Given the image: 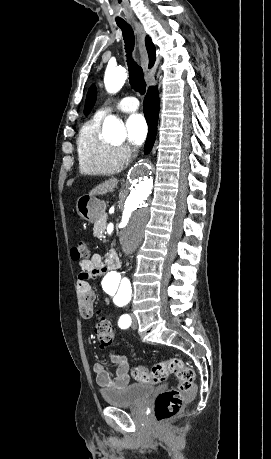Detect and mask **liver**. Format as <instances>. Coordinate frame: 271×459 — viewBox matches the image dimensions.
<instances>
[{
    "label": "liver",
    "mask_w": 271,
    "mask_h": 459,
    "mask_svg": "<svg viewBox=\"0 0 271 459\" xmlns=\"http://www.w3.org/2000/svg\"><path fill=\"white\" fill-rule=\"evenodd\" d=\"M119 180L116 178H111V180H106L103 184H99L96 188H93L91 192H89V196H99V194H107V192H113L114 188H116Z\"/></svg>",
    "instance_id": "1"
}]
</instances>
